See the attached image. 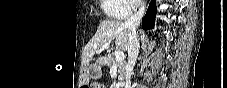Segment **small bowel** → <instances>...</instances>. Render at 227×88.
Here are the masks:
<instances>
[{"label": "small bowel", "mask_w": 227, "mask_h": 88, "mask_svg": "<svg viewBox=\"0 0 227 88\" xmlns=\"http://www.w3.org/2000/svg\"><path fill=\"white\" fill-rule=\"evenodd\" d=\"M93 87H94V88H102L103 86L100 85L99 83H96V84L93 85Z\"/></svg>", "instance_id": "obj_1"}]
</instances>
